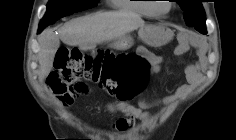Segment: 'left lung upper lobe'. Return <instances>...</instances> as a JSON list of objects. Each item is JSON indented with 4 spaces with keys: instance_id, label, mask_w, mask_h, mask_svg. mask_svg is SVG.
I'll return each instance as SVG.
<instances>
[{
    "instance_id": "obj_1",
    "label": "left lung upper lobe",
    "mask_w": 236,
    "mask_h": 140,
    "mask_svg": "<svg viewBox=\"0 0 236 140\" xmlns=\"http://www.w3.org/2000/svg\"><path fill=\"white\" fill-rule=\"evenodd\" d=\"M184 11V19L188 26L206 34V14L201 0H175Z\"/></svg>"
}]
</instances>
